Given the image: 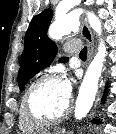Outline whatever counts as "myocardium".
<instances>
[{
	"instance_id": "f54148a6",
	"label": "myocardium",
	"mask_w": 116,
	"mask_h": 134,
	"mask_svg": "<svg viewBox=\"0 0 116 134\" xmlns=\"http://www.w3.org/2000/svg\"><path fill=\"white\" fill-rule=\"evenodd\" d=\"M59 81V78L52 74H47L37 79L28 89L24 98V109L27 116L33 121L41 125H49L62 122L67 119L72 112L73 105L70 102L65 112L60 115H48L37 111L34 99L39 90L47 83Z\"/></svg>"
}]
</instances>
